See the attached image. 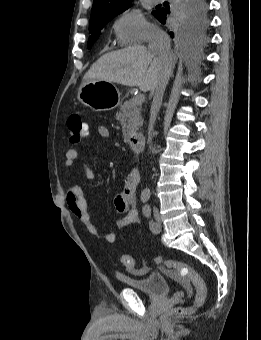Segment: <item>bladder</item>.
<instances>
[{
    "label": "bladder",
    "mask_w": 261,
    "mask_h": 340,
    "mask_svg": "<svg viewBox=\"0 0 261 340\" xmlns=\"http://www.w3.org/2000/svg\"><path fill=\"white\" fill-rule=\"evenodd\" d=\"M117 279L127 287L152 297H166L170 291V282L161 274L139 278L117 275Z\"/></svg>",
    "instance_id": "obj_1"
}]
</instances>
